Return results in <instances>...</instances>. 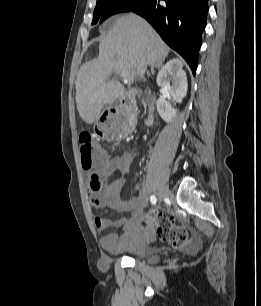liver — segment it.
<instances>
[{
	"label": "liver",
	"instance_id": "6515ba94",
	"mask_svg": "<svg viewBox=\"0 0 261 306\" xmlns=\"http://www.w3.org/2000/svg\"><path fill=\"white\" fill-rule=\"evenodd\" d=\"M168 54V46L143 18L131 13L117 17L99 44L98 58L78 71L75 99L80 117L92 124L105 105L125 94L119 81L109 80L112 73L128 71L130 87L142 61L163 63Z\"/></svg>",
	"mask_w": 261,
	"mask_h": 306
}]
</instances>
